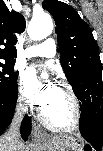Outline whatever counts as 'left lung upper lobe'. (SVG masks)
<instances>
[{
  "instance_id": "left-lung-upper-lobe-1",
  "label": "left lung upper lobe",
  "mask_w": 103,
  "mask_h": 151,
  "mask_svg": "<svg viewBox=\"0 0 103 151\" xmlns=\"http://www.w3.org/2000/svg\"><path fill=\"white\" fill-rule=\"evenodd\" d=\"M42 6L56 22L57 51L72 87L87 75L89 69H102L99 48L92 31L77 11L57 0H44Z\"/></svg>"
}]
</instances>
